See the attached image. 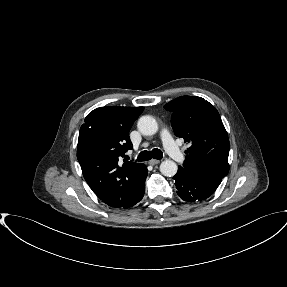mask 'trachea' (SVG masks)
<instances>
[{"mask_svg": "<svg viewBox=\"0 0 287 287\" xmlns=\"http://www.w3.org/2000/svg\"><path fill=\"white\" fill-rule=\"evenodd\" d=\"M163 157V152L160 149H153L152 151H142L137 160L138 161H148L150 159H162Z\"/></svg>", "mask_w": 287, "mask_h": 287, "instance_id": "3493384b", "label": "trachea"}]
</instances>
